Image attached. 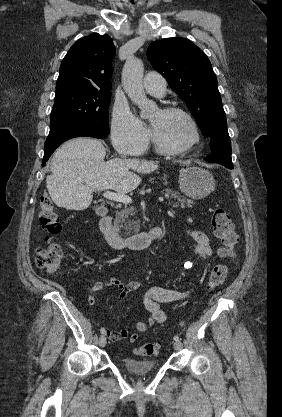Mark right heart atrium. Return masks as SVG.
I'll use <instances>...</instances> for the list:
<instances>
[{
    "label": "right heart atrium",
    "instance_id": "right-heart-atrium-1",
    "mask_svg": "<svg viewBox=\"0 0 282 417\" xmlns=\"http://www.w3.org/2000/svg\"><path fill=\"white\" fill-rule=\"evenodd\" d=\"M148 128L139 121L127 106L117 104L111 121V140L121 154H142L149 142Z\"/></svg>",
    "mask_w": 282,
    "mask_h": 417
}]
</instances>
